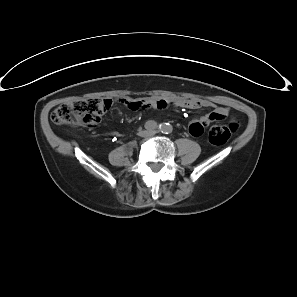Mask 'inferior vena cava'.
Segmentation results:
<instances>
[{"label":"inferior vena cava","mask_w":297,"mask_h":297,"mask_svg":"<svg viewBox=\"0 0 297 297\" xmlns=\"http://www.w3.org/2000/svg\"><path fill=\"white\" fill-rule=\"evenodd\" d=\"M155 134V131H147L146 133H145V136H152V135H154Z\"/></svg>","instance_id":"inferior-vena-cava-1"}]
</instances>
